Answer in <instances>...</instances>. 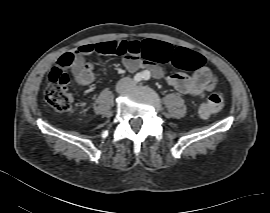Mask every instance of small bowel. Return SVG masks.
I'll use <instances>...</instances> for the list:
<instances>
[{
    "label": "small bowel",
    "mask_w": 270,
    "mask_h": 213,
    "mask_svg": "<svg viewBox=\"0 0 270 213\" xmlns=\"http://www.w3.org/2000/svg\"><path fill=\"white\" fill-rule=\"evenodd\" d=\"M104 43H85L79 45L74 52V60L70 66L75 82L81 86H89L95 80L94 66L86 61V58L95 54H102ZM150 49L145 60L127 56L123 58V64L129 71H136L140 67H147L152 71L153 77L160 79L163 76L160 63L174 61L178 56L187 62L189 50L185 48H174L172 45L157 41L148 40L140 43ZM169 85L183 94L199 96L215 87L214 79L208 68H200L191 76L175 72L167 77Z\"/></svg>",
    "instance_id": "small-bowel-1"
}]
</instances>
